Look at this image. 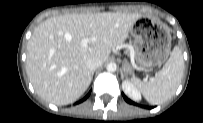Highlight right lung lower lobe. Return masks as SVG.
<instances>
[{
	"mask_svg": "<svg viewBox=\"0 0 203 123\" xmlns=\"http://www.w3.org/2000/svg\"><path fill=\"white\" fill-rule=\"evenodd\" d=\"M89 95H90V92L83 98L82 101L86 100Z\"/></svg>",
	"mask_w": 203,
	"mask_h": 123,
	"instance_id": "right-lung-lower-lobe-1",
	"label": "right lung lower lobe"
}]
</instances>
